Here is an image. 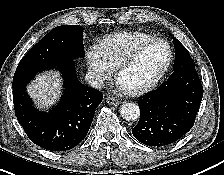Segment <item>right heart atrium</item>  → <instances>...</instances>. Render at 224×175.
Wrapping results in <instances>:
<instances>
[{
	"instance_id": "obj_1",
	"label": "right heart atrium",
	"mask_w": 224,
	"mask_h": 175,
	"mask_svg": "<svg viewBox=\"0 0 224 175\" xmlns=\"http://www.w3.org/2000/svg\"><path fill=\"white\" fill-rule=\"evenodd\" d=\"M86 62L90 76L97 85L108 79L113 72V67L102 56L98 48L92 47L87 50Z\"/></svg>"
}]
</instances>
